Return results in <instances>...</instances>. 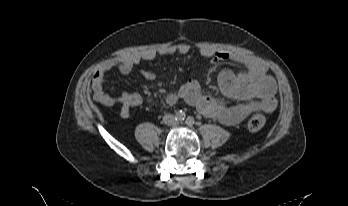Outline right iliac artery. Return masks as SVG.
I'll return each instance as SVG.
<instances>
[{"instance_id":"1","label":"right iliac artery","mask_w":348,"mask_h":206,"mask_svg":"<svg viewBox=\"0 0 348 206\" xmlns=\"http://www.w3.org/2000/svg\"><path fill=\"white\" fill-rule=\"evenodd\" d=\"M180 117H181L182 119H184L185 115L181 114Z\"/></svg>"}]
</instances>
